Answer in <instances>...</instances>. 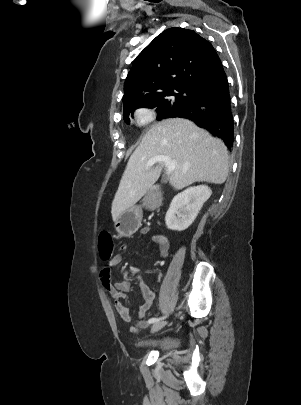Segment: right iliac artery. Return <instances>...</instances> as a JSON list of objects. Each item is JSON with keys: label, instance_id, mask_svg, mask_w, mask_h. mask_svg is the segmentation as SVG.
I'll list each match as a JSON object with an SVG mask.
<instances>
[{"label": "right iliac artery", "instance_id": "right-iliac-artery-1", "mask_svg": "<svg viewBox=\"0 0 301 405\" xmlns=\"http://www.w3.org/2000/svg\"><path fill=\"white\" fill-rule=\"evenodd\" d=\"M164 318H166V316L161 317V318H151V319L149 320V323H150V324H151V323H156V322L161 321V320L164 319Z\"/></svg>", "mask_w": 301, "mask_h": 405}]
</instances>
